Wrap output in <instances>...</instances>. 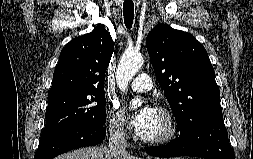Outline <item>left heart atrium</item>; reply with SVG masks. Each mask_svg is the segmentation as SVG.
I'll list each match as a JSON object with an SVG mask.
<instances>
[{
  "label": "left heart atrium",
  "instance_id": "39dd6f15",
  "mask_svg": "<svg viewBox=\"0 0 253 159\" xmlns=\"http://www.w3.org/2000/svg\"><path fill=\"white\" fill-rule=\"evenodd\" d=\"M155 109L150 105L143 106L132 118L133 124L139 133H143L150 123Z\"/></svg>",
  "mask_w": 253,
  "mask_h": 159
}]
</instances>
